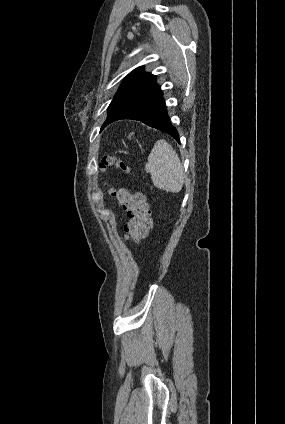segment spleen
Masks as SVG:
<instances>
[{"instance_id":"spleen-1","label":"spleen","mask_w":285,"mask_h":424,"mask_svg":"<svg viewBox=\"0 0 285 424\" xmlns=\"http://www.w3.org/2000/svg\"><path fill=\"white\" fill-rule=\"evenodd\" d=\"M155 187L177 193L184 184V169L173 147L165 140L155 143L145 165Z\"/></svg>"}]
</instances>
